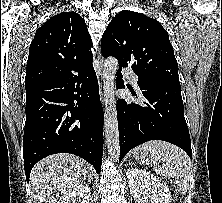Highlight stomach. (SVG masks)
Segmentation results:
<instances>
[{
    "label": "stomach",
    "mask_w": 222,
    "mask_h": 203,
    "mask_svg": "<svg viewBox=\"0 0 222 203\" xmlns=\"http://www.w3.org/2000/svg\"><path fill=\"white\" fill-rule=\"evenodd\" d=\"M145 153L143 152V150L140 149V147L136 148L134 150V156L137 158H140L141 156H143Z\"/></svg>",
    "instance_id": "obj_1"
}]
</instances>
